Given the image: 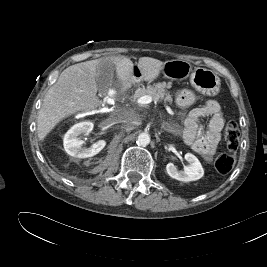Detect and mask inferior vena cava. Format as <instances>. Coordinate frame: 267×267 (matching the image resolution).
Masks as SVG:
<instances>
[{
	"label": "inferior vena cava",
	"mask_w": 267,
	"mask_h": 267,
	"mask_svg": "<svg viewBox=\"0 0 267 267\" xmlns=\"http://www.w3.org/2000/svg\"><path fill=\"white\" fill-rule=\"evenodd\" d=\"M116 122H122L128 128H133L138 124L137 114L133 110H122L116 114Z\"/></svg>",
	"instance_id": "obj_1"
}]
</instances>
